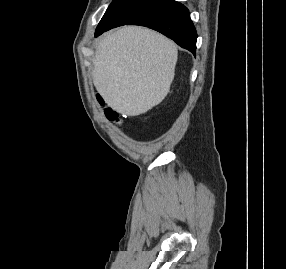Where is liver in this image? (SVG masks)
<instances>
[{
  "label": "liver",
  "mask_w": 286,
  "mask_h": 269,
  "mask_svg": "<svg viewBox=\"0 0 286 269\" xmlns=\"http://www.w3.org/2000/svg\"><path fill=\"white\" fill-rule=\"evenodd\" d=\"M177 54L175 43L155 31L121 27L96 46L93 83L114 111L138 116L168 94Z\"/></svg>",
  "instance_id": "liver-1"
}]
</instances>
